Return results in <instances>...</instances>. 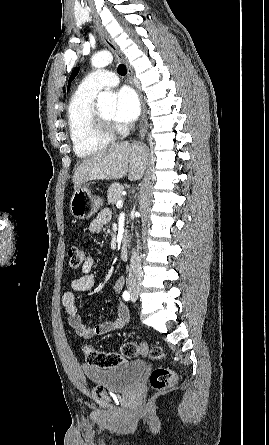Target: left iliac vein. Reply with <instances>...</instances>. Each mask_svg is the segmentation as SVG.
I'll return each instance as SVG.
<instances>
[{"mask_svg": "<svg viewBox=\"0 0 269 445\" xmlns=\"http://www.w3.org/2000/svg\"><path fill=\"white\" fill-rule=\"evenodd\" d=\"M132 302H135L136 301V297L135 296H132Z\"/></svg>", "mask_w": 269, "mask_h": 445, "instance_id": "obj_1", "label": "left iliac vein"}]
</instances>
